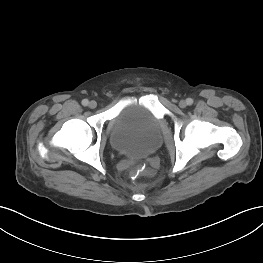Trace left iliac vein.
I'll list each match as a JSON object with an SVG mask.
<instances>
[{
    "mask_svg": "<svg viewBox=\"0 0 263 263\" xmlns=\"http://www.w3.org/2000/svg\"><path fill=\"white\" fill-rule=\"evenodd\" d=\"M179 106H180L181 108H185V107L187 106L186 101H185V100H181V101L179 102Z\"/></svg>",
    "mask_w": 263,
    "mask_h": 263,
    "instance_id": "1",
    "label": "left iliac vein"
}]
</instances>
